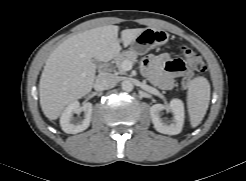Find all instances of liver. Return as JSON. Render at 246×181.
I'll return each instance as SVG.
<instances>
[{
  "label": "liver",
  "instance_id": "6515ba94",
  "mask_svg": "<svg viewBox=\"0 0 246 181\" xmlns=\"http://www.w3.org/2000/svg\"><path fill=\"white\" fill-rule=\"evenodd\" d=\"M118 30V26L107 25L78 33L50 54L39 82L40 105L49 120L57 119L68 104L91 91L96 71L93 58L106 62L120 53ZM144 30H122L123 46H129Z\"/></svg>",
  "mask_w": 246,
  "mask_h": 181
}]
</instances>
